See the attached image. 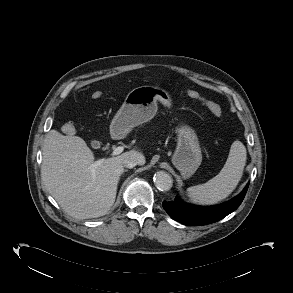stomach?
<instances>
[{"instance_id": "0dacf381", "label": "stomach", "mask_w": 293, "mask_h": 293, "mask_svg": "<svg viewBox=\"0 0 293 293\" xmlns=\"http://www.w3.org/2000/svg\"><path fill=\"white\" fill-rule=\"evenodd\" d=\"M157 101L166 107L172 105L171 95L160 87L140 86L131 90L111 122V136L116 139L121 138L132 128L151 120L158 109ZM176 134L177 146L172 156V163L184 178H189L202 162L199 140L194 129L189 125H179Z\"/></svg>"}]
</instances>
